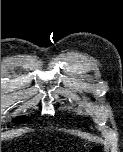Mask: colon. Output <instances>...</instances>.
Wrapping results in <instances>:
<instances>
[{"label":"colon","instance_id":"5ec220e1","mask_svg":"<svg viewBox=\"0 0 123 152\" xmlns=\"http://www.w3.org/2000/svg\"><path fill=\"white\" fill-rule=\"evenodd\" d=\"M89 152H103L100 147H93L89 150Z\"/></svg>","mask_w":123,"mask_h":152}]
</instances>
